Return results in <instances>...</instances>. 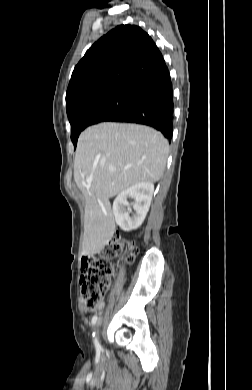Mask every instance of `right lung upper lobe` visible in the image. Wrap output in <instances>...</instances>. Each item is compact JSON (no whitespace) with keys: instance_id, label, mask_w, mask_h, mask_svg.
I'll use <instances>...</instances> for the list:
<instances>
[{"instance_id":"right-lung-upper-lobe-1","label":"right lung upper lobe","mask_w":252,"mask_h":390,"mask_svg":"<svg viewBox=\"0 0 252 390\" xmlns=\"http://www.w3.org/2000/svg\"><path fill=\"white\" fill-rule=\"evenodd\" d=\"M152 38L140 27L120 25L96 41L75 66L66 110L111 95L136 96L169 77Z\"/></svg>"}]
</instances>
